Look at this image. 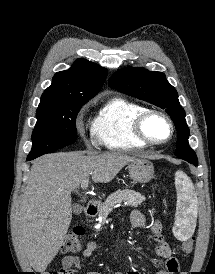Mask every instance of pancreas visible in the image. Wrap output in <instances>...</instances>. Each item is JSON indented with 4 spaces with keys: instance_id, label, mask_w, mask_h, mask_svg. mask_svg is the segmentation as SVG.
<instances>
[{
    "instance_id": "cf45deb5",
    "label": "pancreas",
    "mask_w": 215,
    "mask_h": 274,
    "mask_svg": "<svg viewBox=\"0 0 215 274\" xmlns=\"http://www.w3.org/2000/svg\"><path fill=\"white\" fill-rule=\"evenodd\" d=\"M144 200L145 197L134 190H118L111 194L102 204L99 217L102 222L106 221L110 211L123 201L126 202V206L138 207Z\"/></svg>"
}]
</instances>
